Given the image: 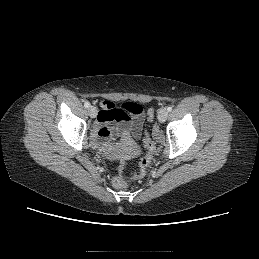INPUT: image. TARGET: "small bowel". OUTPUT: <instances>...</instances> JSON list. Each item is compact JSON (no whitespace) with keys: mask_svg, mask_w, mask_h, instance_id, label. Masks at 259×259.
Returning a JSON list of instances; mask_svg holds the SVG:
<instances>
[{"mask_svg":"<svg viewBox=\"0 0 259 259\" xmlns=\"http://www.w3.org/2000/svg\"><path fill=\"white\" fill-rule=\"evenodd\" d=\"M137 106L138 111H130L127 103L117 106L111 101H103L101 110L97 116L96 143L107 146L111 138H127L129 135L138 139L143 123V109L141 105L129 102Z\"/></svg>","mask_w":259,"mask_h":259,"instance_id":"c3829d8e","label":"small bowel"}]
</instances>
